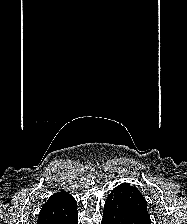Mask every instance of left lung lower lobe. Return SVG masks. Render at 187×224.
<instances>
[{
  "instance_id": "0a47b994",
  "label": "left lung lower lobe",
  "mask_w": 187,
  "mask_h": 224,
  "mask_svg": "<svg viewBox=\"0 0 187 224\" xmlns=\"http://www.w3.org/2000/svg\"><path fill=\"white\" fill-rule=\"evenodd\" d=\"M101 224H151L150 217L135 211L118 190L107 197Z\"/></svg>"
}]
</instances>
